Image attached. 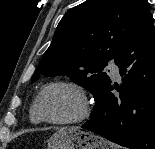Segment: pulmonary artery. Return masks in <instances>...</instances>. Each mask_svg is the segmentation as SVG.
Segmentation results:
<instances>
[{
    "instance_id": "pulmonary-artery-1",
    "label": "pulmonary artery",
    "mask_w": 155,
    "mask_h": 149,
    "mask_svg": "<svg viewBox=\"0 0 155 149\" xmlns=\"http://www.w3.org/2000/svg\"><path fill=\"white\" fill-rule=\"evenodd\" d=\"M108 69H109L110 74L112 75V77L119 78V69H118V66L114 62H111L108 65Z\"/></svg>"
}]
</instances>
